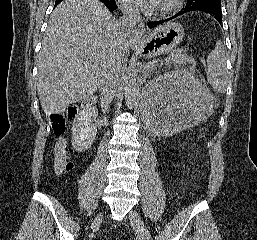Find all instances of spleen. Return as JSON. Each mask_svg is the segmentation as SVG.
I'll return each instance as SVG.
<instances>
[{"label":"spleen","instance_id":"1","mask_svg":"<svg viewBox=\"0 0 257 240\" xmlns=\"http://www.w3.org/2000/svg\"><path fill=\"white\" fill-rule=\"evenodd\" d=\"M207 80L217 93L223 94L228 85V72L224 46L217 42L215 49L211 51L207 59Z\"/></svg>","mask_w":257,"mask_h":240}]
</instances>
